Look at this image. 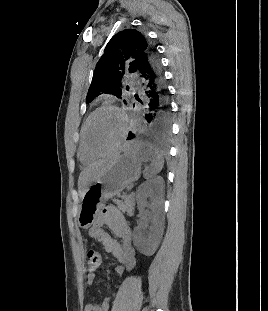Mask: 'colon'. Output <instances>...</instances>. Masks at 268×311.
Segmentation results:
<instances>
[{
  "label": "colon",
  "mask_w": 268,
  "mask_h": 311,
  "mask_svg": "<svg viewBox=\"0 0 268 311\" xmlns=\"http://www.w3.org/2000/svg\"><path fill=\"white\" fill-rule=\"evenodd\" d=\"M101 259V254L98 251L90 250L86 259L88 270L91 272L96 271L101 264Z\"/></svg>",
  "instance_id": "1"
}]
</instances>
